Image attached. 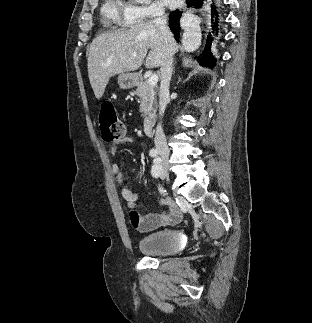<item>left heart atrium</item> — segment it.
<instances>
[{"mask_svg":"<svg viewBox=\"0 0 312 323\" xmlns=\"http://www.w3.org/2000/svg\"><path fill=\"white\" fill-rule=\"evenodd\" d=\"M165 8H178L179 4L183 3V0H162Z\"/></svg>","mask_w":312,"mask_h":323,"instance_id":"left-heart-atrium-1","label":"left heart atrium"}]
</instances>
